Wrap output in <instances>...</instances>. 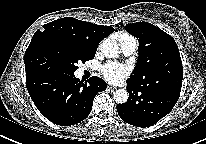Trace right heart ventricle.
<instances>
[{"instance_id":"obj_1","label":"right heart ventricle","mask_w":206,"mask_h":144,"mask_svg":"<svg viewBox=\"0 0 206 144\" xmlns=\"http://www.w3.org/2000/svg\"><path fill=\"white\" fill-rule=\"evenodd\" d=\"M126 37H129V35H127V34H122V35H120L119 39L122 40V39H124V38H126Z\"/></svg>"}]
</instances>
